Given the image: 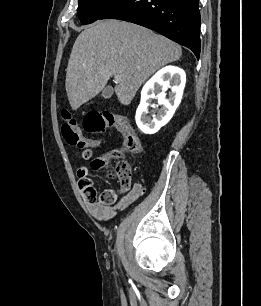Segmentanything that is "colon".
Instances as JSON below:
<instances>
[{"label": "colon", "mask_w": 261, "mask_h": 306, "mask_svg": "<svg viewBox=\"0 0 261 306\" xmlns=\"http://www.w3.org/2000/svg\"><path fill=\"white\" fill-rule=\"evenodd\" d=\"M63 123L61 132L63 138L70 145L84 150V153L90 152L92 148V139L85 137L82 130L68 110H62ZM83 127L86 132L91 134L102 133L106 128H115L122 136L121 149L111 152L113 157H121L123 154H138L141 150L140 141L129 121L119 115L109 112H90L84 118ZM108 157H100L92 162L94 169H101L107 163ZM113 175L118 179L122 189L126 190L130 186L131 169L129 164L124 160H119L114 164ZM79 187L87 194V200L91 203L100 202L105 205H112L117 199V195L112 190H106L98 196L92 181L86 173L79 177Z\"/></svg>", "instance_id": "colon-1"}]
</instances>
